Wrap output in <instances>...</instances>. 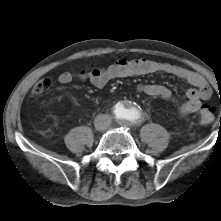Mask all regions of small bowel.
<instances>
[{
  "label": "small bowel",
  "mask_w": 221,
  "mask_h": 221,
  "mask_svg": "<svg viewBox=\"0 0 221 221\" xmlns=\"http://www.w3.org/2000/svg\"><path fill=\"white\" fill-rule=\"evenodd\" d=\"M157 73L173 75L192 86L186 92L187 100L180 106V113L182 115L196 113L202 107L203 101L211 96V88L207 80L199 73L182 66L159 63L143 58H121L108 67L97 68L90 73L85 71H65L58 76V82L66 85L73 80L89 81L93 86L103 88L110 81L117 78ZM137 90L141 94L163 99H170L172 96L169 88L158 84H141Z\"/></svg>",
  "instance_id": "obj_1"
}]
</instances>
